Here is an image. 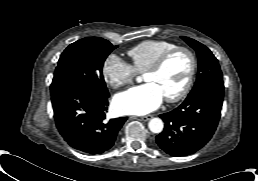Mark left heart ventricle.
Returning <instances> with one entry per match:
<instances>
[{
	"instance_id": "left-heart-ventricle-1",
	"label": "left heart ventricle",
	"mask_w": 258,
	"mask_h": 181,
	"mask_svg": "<svg viewBox=\"0 0 258 181\" xmlns=\"http://www.w3.org/2000/svg\"><path fill=\"white\" fill-rule=\"evenodd\" d=\"M190 70V59L184 52H178L165 63L157 73H147L143 79L156 84L164 97L177 94L185 85Z\"/></svg>"
}]
</instances>
